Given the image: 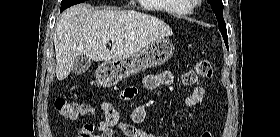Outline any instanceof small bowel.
I'll return each instance as SVG.
<instances>
[{"label":"small bowel","instance_id":"small-bowel-1","mask_svg":"<svg viewBox=\"0 0 280 137\" xmlns=\"http://www.w3.org/2000/svg\"><path fill=\"white\" fill-rule=\"evenodd\" d=\"M174 84V76L167 71L149 74L143 79V85L147 89H156L163 87L164 89H172ZM134 96L137 92L135 87L127 88ZM158 92L156 96H161ZM206 96V90L202 86H197L184 99V104L193 108L199 105ZM154 100H149L137 106L131 113V123H120L119 114L111 103L102 105L104 120L97 124L93 122L85 123L78 130V137H115L116 131L123 133L126 137H153L143 127L142 123L146 119L148 110L154 104ZM193 113L185 114V119L191 120Z\"/></svg>","mask_w":280,"mask_h":137}]
</instances>
